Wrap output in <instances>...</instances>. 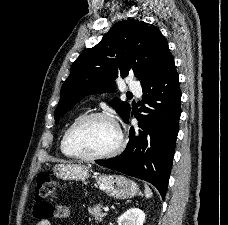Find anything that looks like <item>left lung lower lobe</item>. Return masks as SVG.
<instances>
[{
  "instance_id": "1",
  "label": "left lung lower lobe",
  "mask_w": 228,
  "mask_h": 225,
  "mask_svg": "<svg viewBox=\"0 0 228 225\" xmlns=\"http://www.w3.org/2000/svg\"><path fill=\"white\" fill-rule=\"evenodd\" d=\"M142 90V103L147 106L142 104L139 109L142 112L137 116L139 129L131 127L126 149L115 158L95 162L148 181L164 199L181 115L179 76L172 54L157 74L142 84ZM129 117L125 120L126 123Z\"/></svg>"
}]
</instances>
